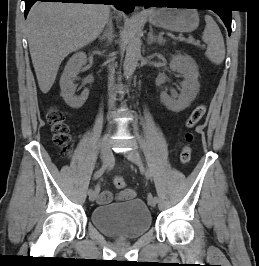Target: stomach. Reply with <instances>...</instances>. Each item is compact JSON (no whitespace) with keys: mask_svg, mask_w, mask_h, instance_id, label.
I'll list each match as a JSON object with an SVG mask.
<instances>
[{"mask_svg":"<svg viewBox=\"0 0 259 266\" xmlns=\"http://www.w3.org/2000/svg\"><path fill=\"white\" fill-rule=\"evenodd\" d=\"M148 17L151 24L180 33L192 32L199 25V15L194 9H153Z\"/></svg>","mask_w":259,"mask_h":266,"instance_id":"stomach-1","label":"stomach"}]
</instances>
